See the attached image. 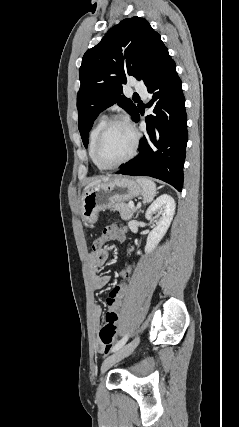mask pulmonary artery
Returning <instances> with one entry per match:
<instances>
[{"mask_svg":"<svg viewBox=\"0 0 239 427\" xmlns=\"http://www.w3.org/2000/svg\"><path fill=\"white\" fill-rule=\"evenodd\" d=\"M134 89L136 92L140 93L143 96L147 95V88L143 83H140V82L136 83L134 85Z\"/></svg>","mask_w":239,"mask_h":427,"instance_id":"obj_1","label":"pulmonary artery"}]
</instances>
